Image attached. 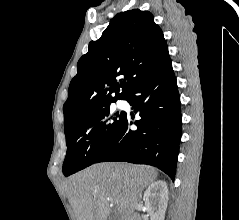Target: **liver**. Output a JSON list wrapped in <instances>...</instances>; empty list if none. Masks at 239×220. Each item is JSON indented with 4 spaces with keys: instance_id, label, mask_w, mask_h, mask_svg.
Here are the masks:
<instances>
[{
    "instance_id": "obj_1",
    "label": "liver",
    "mask_w": 239,
    "mask_h": 220,
    "mask_svg": "<svg viewBox=\"0 0 239 220\" xmlns=\"http://www.w3.org/2000/svg\"><path fill=\"white\" fill-rule=\"evenodd\" d=\"M157 175L149 166L99 163L71 176L64 189L77 220H108L110 203L118 220H132L143 190Z\"/></svg>"
}]
</instances>
